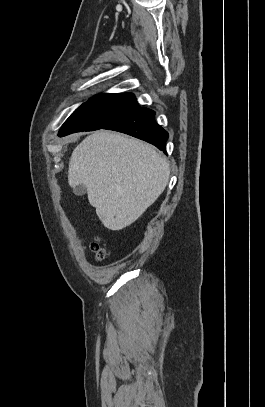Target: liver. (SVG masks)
<instances>
[{"instance_id":"obj_1","label":"liver","mask_w":265,"mask_h":407,"mask_svg":"<svg viewBox=\"0 0 265 407\" xmlns=\"http://www.w3.org/2000/svg\"><path fill=\"white\" fill-rule=\"evenodd\" d=\"M169 176L154 147L105 130L77 145L68 168L69 185L86 187L99 220L113 231L134 222L165 190Z\"/></svg>"}]
</instances>
